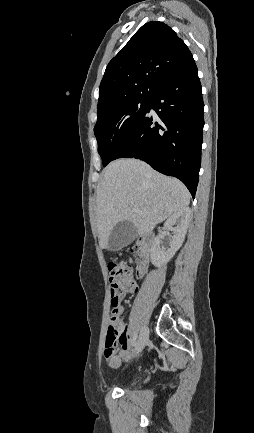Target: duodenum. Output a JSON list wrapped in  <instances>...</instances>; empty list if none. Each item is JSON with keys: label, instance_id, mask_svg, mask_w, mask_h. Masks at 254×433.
<instances>
[{"label": "duodenum", "instance_id": "duodenum-1", "mask_svg": "<svg viewBox=\"0 0 254 433\" xmlns=\"http://www.w3.org/2000/svg\"><path fill=\"white\" fill-rule=\"evenodd\" d=\"M154 241V234L147 233L143 237L140 238L137 245L141 253V260L137 265L136 274L141 277L147 268V256L149 252V248Z\"/></svg>", "mask_w": 254, "mask_h": 433}]
</instances>
